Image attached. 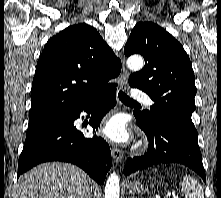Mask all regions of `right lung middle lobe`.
<instances>
[{
	"label": "right lung middle lobe",
	"instance_id": "1",
	"mask_svg": "<svg viewBox=\"0 0 221 198\" xmlns=\"http://www.w3.org/2000/svg\"><path fill=\"white\" fill-rule=\"evenodd\" d=\"M69 116H70V114L58 115V116L50 117L47 119L39 120L36 122H31L28 124V130H27L26 135L32 133L33 131H35L39 128L45 127L49 124H52L54 122L67 120L69 118Z\"/></svg>",
	"mask_w": 221,
	"mask_h": 198
}]
</instances>
